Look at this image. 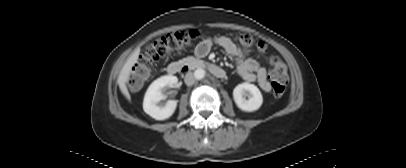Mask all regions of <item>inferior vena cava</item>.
I'll list each match as a JSON object with an SVG mask.
<instances>
[{"label": "inferior vena cava", "instance_id": "inferior-vena-cava-1", "mask_svg": "<svg viewBox=\"0 0 406 168\" xmlns=\"http://www.w3.org/2000/svg\"><path fill=\"white\" fill-rule=\"evenodd\" d=\"M184 81H185V84L188 85V86L193 85L194 82H195V77H194L193 73L188 72V73L185 75Z\"/></svg>", "mask_w": 406, "mask_h": 168}]
</instances>
